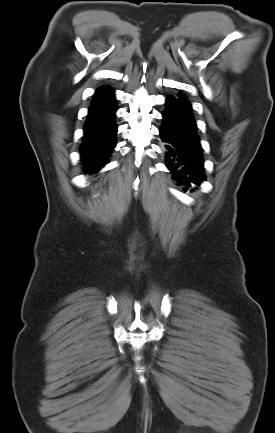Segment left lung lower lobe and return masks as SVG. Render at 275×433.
<instances>
[{
	"mask_svg": "<svg viewBox=\"0 0 275 433\" xmlns=\"http://www.w3.org/2000/svg\"><path fill=\"white\" fill-rule=\"evenodd\" d=\"M162 115L160 137L164 142L167 168L179 185H200L205 180L203 149L191 104L181 94L170 95L166 99V109Z\"/></svg>",
	"mask_w": 275,
	"mask_h": 433,
	"instance_id": "obj_1",
	"label": "left lung lower lobe"
}]
</instances>
